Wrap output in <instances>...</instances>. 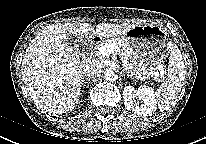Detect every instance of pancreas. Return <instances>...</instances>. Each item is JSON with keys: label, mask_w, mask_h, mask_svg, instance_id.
<instances>
[{"label": "pancreas", "mask_w": 206, "mask_h": 144, "mask_svg": "<svg viewBox=\"0 0 206 144\" xmlns=\"http://www.w3.org/2000/svg\"><path fill=\"white\" fill-rule=\"evenodd\" d=\"M111 43L115 44L120 49V51L115 52V53L119 54L122 60L123 66L127 70L128 75L131 78L143 77L144 75H148L149 72L153 70V68H147L145 66H140L139 63L135 59L132 58V52L128 44L124 42L123 39L121 38L107 39L105 43L100 45V47L104 45H109Z\"/></svg>", "instance_id": "cf45deb5"}]
</instances>
